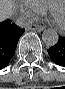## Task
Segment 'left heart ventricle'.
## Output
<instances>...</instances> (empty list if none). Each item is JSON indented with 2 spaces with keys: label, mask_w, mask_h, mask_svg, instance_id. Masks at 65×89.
<instances>
[{
  "label": "left heart ventricle",
  "mask_w": 65,
  "mask_h": 89,
  "mask_svg": "<svg viewBox=\"0 0 65 89\" xmlns=\"http://www.w3.org/2000/svg\"><path fill=\"white\" fill-rule=\"evenodd\" d=\"M55 20L60 24H64V22H65V9L62 6H59L56 9Z\"/></svg>",
  "instance_id": "b2bd125f"
}]
</instances>
